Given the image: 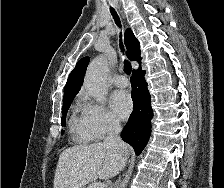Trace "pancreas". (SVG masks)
I'll return each mask as SVG.
<instances>
[{"label": "pancreas", "instance_id": "obj_1", "mask_svg": "<svg viewBox=\"0 0 224 188\" xmlns=\"http://www.w3.org/2000/svg\"><path fill=\"white\" fill-rule=\"evenodd\" d=\"M91 185H92V184H90L87 188H91Z\"/></svg>", "mask_w": 224, "mask_h": 188}]
</instances>
